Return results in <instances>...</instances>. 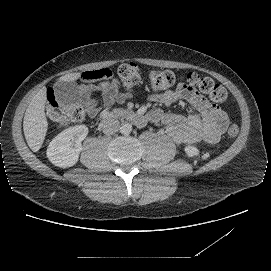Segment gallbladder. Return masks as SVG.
I'll list each match as a JSON object with an SVG mask.
<instances>
[{
  "label": "gallbladder",
  "instance_id": "bac80fb5",
  "mask_svg": "<svg viewBox=\"0 0 271 271\" xmlns=\"http://www.w3.org/2000/svg\"><path fill=\"white\" fill-rule=\"evenodd\" d=\"M53 89L57 99L66 108H75L82 101V87L75 80L58 81Z\"/></svg>",
  "mask_w": 271,
  "mask_h": 271
}]
</instances>
